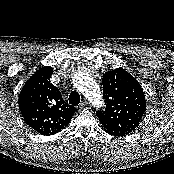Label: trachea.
I'll list each match as a JSON object with an SVG mask.
<instances>
[{"label": "trachea", "instance_id": "obj_1", "mask_svg": "<svg viewBox=\"0 0 174 174\" xmlns=\"http://www.w3.org/2000/svg\"><path fill=\"white\" fill-rule=\"evenodd\" d=\"M80 103V95L77 91H73L69 95V104L78 105Z\"/></svg>", "mask_w": 174, "mask_h": 174}]
</instances>
